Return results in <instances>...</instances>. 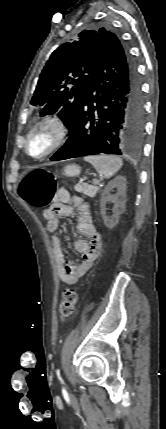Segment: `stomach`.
Here are the masks:
<instances>
[{
    "label": "stomach",
    "mask_w": 166,
    "mask_h": 429,
    "mask_svg": "<svg viewBox=\"0 0 166 429\" xmlns=\"http://www.w3.org/2000/svg\"><path fill=\"white\" fill-rule=\"evenodd\" d=\"M80 172H81V168L77 164L67 165L63 170V174L67 177L78 176Z\"/></svg>",
    "instance_id": "0dacf381"
}]
</instances>
